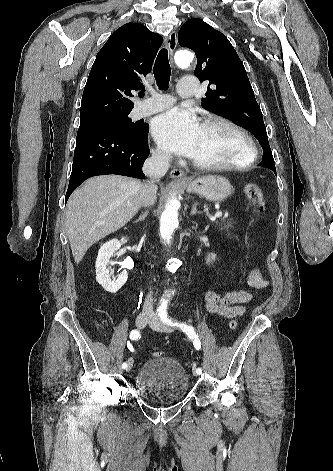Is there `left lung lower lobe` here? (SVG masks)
<instances>
[{
	"label": "left lung lower lobe",
	"mask_w": 333,
	"mask_h": 471,
	"mask_svg": "<svg viewBox=\"0 0 333 471\" xmlns=\"http://www.w3.org/2000/svg\"><path fill=\"white\" fill-rule=\"evenodd\" d=\"M259 165H260V166H263V165H264V163H263V162H261ZM273 169H274V170H273V172L276 174V168H273Z\"/></svg>",
	"instance_id": "0a47b994"
}]
</instances>
